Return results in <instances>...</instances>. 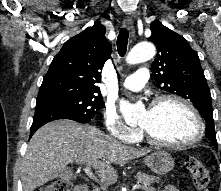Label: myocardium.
Returning <instances> with one entry per match:
<instances>
[{
  "label": "myocardium",
  "instance_id": "1",
  "mask_svg": "<svg viewBox=\"0 0 221 191\" xmlns=\"http://www.w3.org/2000/svg\"><path fill=\"white\" fill-rule=\"evenodd\" d=\"M167 101L178 102L179 104L184 106L192 114V116L194 117L196 124H197L196 135L192 139L182 142V143H170V142L161 141V140L155 138L147 130L140 127V130H141L144 138L146 139V141L153 146L160 147V148H167V149H184V148L191 147L192 145L200 142L205 134L204 121H203L202 116L200 115L199 111L196 109V107L192 103H190L188 100H186L185 98H183L179 95H175V94L160 95L153 100V102L151 103V106H150V110L157 108L162 103L167 102Z\"/></svg>",
  "mask_w": 221,
  "mask_h": 191
}]
</instances>
